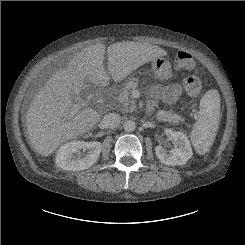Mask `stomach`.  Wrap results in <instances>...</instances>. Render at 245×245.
Returning a JSON list of instances; mask_svg holds the SVG:
<instances>
[{
    "label": "stomach",
    "instance_id": "0dacf381",
    "mask_svg": "<svg viewBox=\"0 0 245 245\" xmlns=\"http://www.w3.org/2000/svg\"><path fill=\"white\" fill-rule=\"evenodd\" d=\"M152 71L160 79H168L172 76V69L169 61L158 57L152 61Z\"/></svg>",
    "mask_w": 245,
    "mask_h": 245
}]
</instances>
